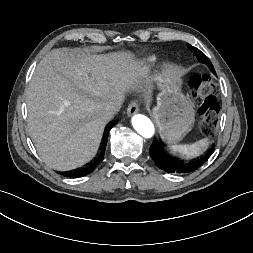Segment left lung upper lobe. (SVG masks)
Returning a JSON list of instances; mask_svg holds the SVG:
<instances>
[{
    "instance_id": "1",
    "label": "left lung upper lobe",
    "mask_w": 253,
    "mask_h": 253,
    "mask_svg": "<svg viewBox=\"0 0 253 253\" xmlns=\"http://www.w3.org/2000/svg\"><path fill=\"white\" fill-rule=\"evenodd\" d=\"M188 47L191 48V51H192L195 55L204 56V54H203L199 49H197L196 47H192L190 44H188Z\"/></svg>"
}]
</instances>
